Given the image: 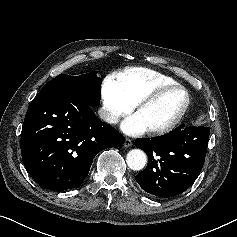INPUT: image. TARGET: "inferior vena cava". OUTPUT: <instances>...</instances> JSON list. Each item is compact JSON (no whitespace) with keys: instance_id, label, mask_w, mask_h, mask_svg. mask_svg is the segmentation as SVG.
Instances as JSON below:
<instances>
[{"instance_id":"obj_1","label":"inferior vena cava","mask_w":237,"mask_h":237,"mask_svg":"<svg viewBox=\"0 0 237 237\" xmlns=\"http://www.w3.org/2000/svg\"><path fill=\"white\" fill-rule=\"evenodd\" d=\"M98 114L100 118L106 121L107 123H111V124L118 123V120H119L118 115L110 112L108 109L100 108L98 110Z\"/></svg>"}]
</instances>
